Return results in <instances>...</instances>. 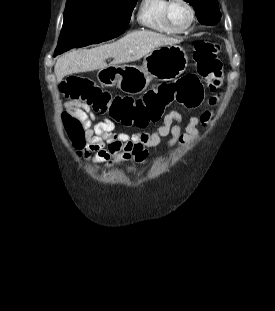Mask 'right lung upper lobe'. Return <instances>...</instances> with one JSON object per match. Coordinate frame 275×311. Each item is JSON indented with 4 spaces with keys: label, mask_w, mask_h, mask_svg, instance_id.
I'll list each match as a JSON object with an SVG mask.
<instances>
[{
    "label": "right lung upper lobe",
    "mask_w": 275,
    "mask_h": 311,
    "mask_svg": "<svg viewBox=\"0 0 275 311\" xmlns=\"http://www.w3.org/2000/svg\"><path fill=\"white\" fill-rule=\"evenodd\" d=\"M68 1H84V0H68Z\"/></svg>",
    "instance_id": "right-lung-upper-lobe-1"
}]
</instances>
